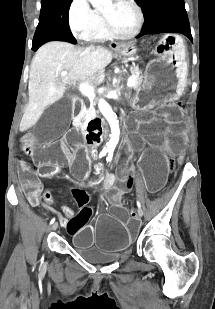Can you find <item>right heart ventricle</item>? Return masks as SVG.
Returning <instances> with one entry per match:
<instances>
[{"label":"right heart ventricle","mask_w":215,"mask_h":309,"mask_svg":"<svg viewBox=\"0 0 215 309\" xmlns=\"http://www.w3.org/2000/svg\"><path fill=\"white\" fill-rule=\"evenodd\" d=\"M87 34H92V37L96 38V40L105 38V31H102L101 27H87Z\"/></svg>","instance_id":"obj_1"}]
</instances>
